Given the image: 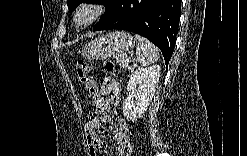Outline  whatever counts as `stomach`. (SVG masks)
Segmentation results:
<instances>
[{"instance_id": "obj_1", "label": "stomach", "mask_w": 247, "mask_h": 156, "mask_svg": "<svg viewBox=\"0 0 247 156\" xmlns=\"http://www.w3.org/2000/svg\"><path fill=\"white\" fill-rule=\"evenodd\" d=\"M134 46L133 37L125 31H113L91 41L83 55L90 61L109 58Z\"/></svg>"}]
</instances>
